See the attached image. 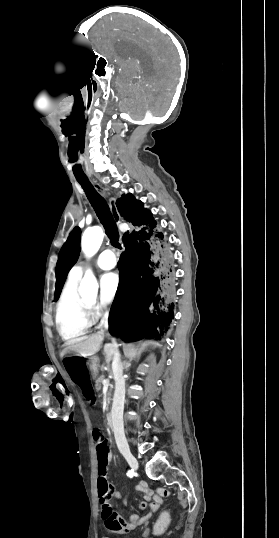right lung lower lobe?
Here are the masks:
<instances>
[{
	"mask_svg": "<svg viewBox=\"0 0 279 538\" xmlns=\"http://www.w3.org/2000/svg\"><path fill=\"white\" fill-rule=\"evenodd\" d=\"M132 230L123 235L118 262L120 283L109 315L110 332L126 340L159 338L174 315L176 280L167 240L156 221L132 194L117 201Z\"/></svg>",
	"mask_w": 279,
	"mask_h": 538,
	"instance_id": "right-lung-lower-lobe-1",
	"label": "right lung lower lobe"
}]
</instances>
